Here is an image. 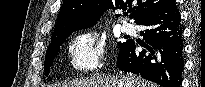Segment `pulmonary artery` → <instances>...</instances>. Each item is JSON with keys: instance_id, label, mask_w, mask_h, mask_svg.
I'll return each mask as SVG.
<instances>
[{"instance_id": "e3ab8cb5", "label": "pulmonary artery", "mask_w": 205, "mask_h": 87, "mask_svg": "<svg viewBox=\"0 0 205 87\" xmlns=\"http://www.w3.org/2000/svg\"><path fill=\"white\" fill-rule=\"evenodd\" d=\"M121 29L125 32V33H134L135 28L131 23H122L121 25Z\"/></svg>"}]
</instances>
